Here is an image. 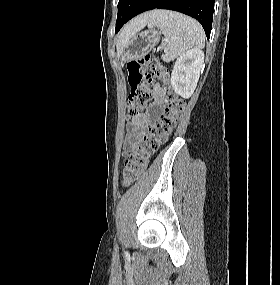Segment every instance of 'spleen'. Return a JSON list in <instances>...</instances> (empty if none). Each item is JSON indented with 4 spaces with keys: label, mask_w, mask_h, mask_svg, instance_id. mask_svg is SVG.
I'll list each match as a JSON object with an SVG mask.
<instances>
[{
    "label": "spleen",
    "mask_w": 280,
    "mask_h": 285,
    "mask_svg": "<svg viewBox=\"0 0 280 285\" xmlns=\"http://www.w3.org/2000/svg\"><path fill=\"white\" fill-rule=\"evenodd\" d=\"M154 26L164 35V43L158 50H164L162 59L165 62L173 61L194 47L204 46L202 26L188 16L173 11H156L155 17L148 23V27Z\"/></svg>",
    "instance_id": "3e777b00"
}]
</instances>
